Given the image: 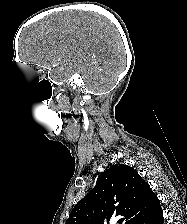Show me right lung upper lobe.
Returning a JSON list of instances; mask_svg holds the SVG:
<instances>
[{
	"instance_id": "right-lung-upper-lobe-1",
	"label": "right lung upper lobe",
	"mask_w": 187,
	"mask_h": 224,
	"mask_svg": "<svg viewBox=\"0 0 187 224\" xmlns=\"http://www.w3.org/2000/svg\"><path fill=\"white\" fill-rule=\"evenodd\" d=\"M161 210L159 199L138 172L112 165L98 176L95 187L80 200L65 224H102L121 216L119 224H137Z\"/></svg>"
}]
</instances>
